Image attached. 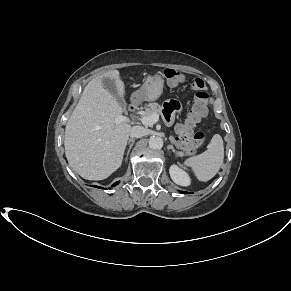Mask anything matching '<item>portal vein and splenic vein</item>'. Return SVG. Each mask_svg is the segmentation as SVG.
<instances>
[{
  "instance_id": "18ae733b",
  "label": "portal vein and splenic vein",
  "mask_w": 291,
  "mask_h": 291,
  "mask_svg": "<svg viewBox=\"0 0 291 291\" xmlns=\"http://www.w3.org/2000/svg\"><path fill=\"white\" fill-rule=\"evenodd\" d=\"M129 118L123 115H118L115 117V123L120 124L122 122H129ZM159 121V115L157 113H152L149 116H144L141 119V122L145 126H151L154 123H157Z\"/></svg>"
}]
</instances>
